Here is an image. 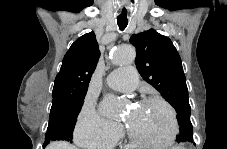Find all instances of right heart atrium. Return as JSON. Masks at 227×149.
<instances>
[{
    "label": "right heart atrium",
    "instance_id": "d8ad5b80",
    "mask_svg": "<svg viewBox=\"0 0 227 149\" xmlns=\"http://www.w3.org/2000/svg\"><path fill=\"white\" fill-rule=\"evenodd\" d=\"M121 135L120 124L103 117L90 102L83 103L75 127V138L79 145L109 148L116 144Z\"/></svg>",
    "mask_w": 227,
    "mask_h": 149
}]
</instances>
